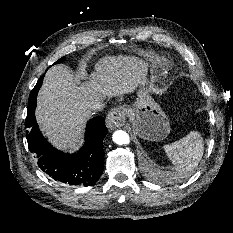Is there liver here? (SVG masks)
<instances>
[{
	"instance_id": "6515ba94",
	"label": "liver",
	"mask_w": 233,
	"mask_h": 233,
	"mask_svg": "<svg viewBox=\"0 0 233 233\" xmlns=\"http://www.w3.org/2000/svg\"><path fill=\"white\" fill-rule=\"evenodd\" d=\"M145 64L134 56H105L95 64L90 81L78 84L68 68H50L38 93L36 119L48 140L61 150L80 142L92 105L107 96L135 90L144 77Z\"/></svg>"
}]
</instances>
